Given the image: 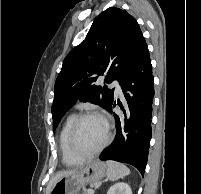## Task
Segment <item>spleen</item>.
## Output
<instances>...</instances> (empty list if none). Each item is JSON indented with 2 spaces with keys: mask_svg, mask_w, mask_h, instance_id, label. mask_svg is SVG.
<instances>
[{
  "mask_svg": "<svg viewBox=\"0 0 201 194\" xmlns=\"http://www.w3.org/2000/svg\"><path fill=\"white\" fill-rule=\"evenodd\" d=\"M107 177L111 181H116L120 178L125 177L126 175L130 174V170L122 163H118L115 161H107Z\"/></svg>",
  "mask_w": 201,
  "mask_h": 194,
  "instance_id": "obj_1",
  "label": "spleen"
}]
</instances>
